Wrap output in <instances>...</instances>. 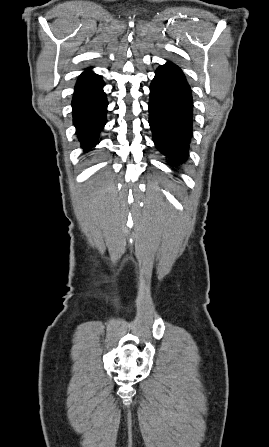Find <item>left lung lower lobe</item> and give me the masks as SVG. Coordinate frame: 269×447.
<instances>
[{"instance_id":"left-lung-lower-lobe-1","label":"left lung lower lobe","mask_w":269,"mask_h":447,"mask_svg":"<svg viewBox=\"0 0 269 447\" xmlns=\"http://www.w3.org/2000/svg\"><path fill=\"white\" fill-rule=\"evenodd\" d=\"M192 107L191 89L182 70L171 62L161 65L150 86L149 124L157 149L171 166L187 160Z\"/></svg>"}]
</instances>
